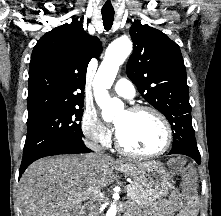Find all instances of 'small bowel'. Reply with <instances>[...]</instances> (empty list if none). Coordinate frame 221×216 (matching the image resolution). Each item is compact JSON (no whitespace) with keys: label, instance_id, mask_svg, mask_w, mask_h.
I'll list each match as a JSON object with an SVG mask.
<instances>
[{"label":"small bowel","instance_id":"small-bowel-1","mask_svg":"<svg viewBox=\"0 0 221 216\" xmlns=\"http://www.w3.org/2000/svg\"><path fill=\"white\" fill-rule=\"evenodd\" d=\"M197 202L183 203L181 194L173 191L168 200L160 207L157 216H196Z\"/></svg>","mask_w":221,"mask_h":216}]
</instances>
